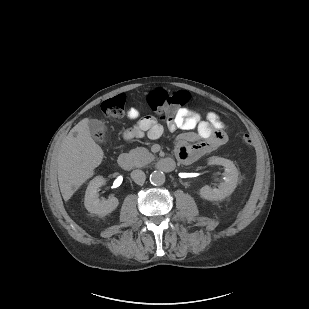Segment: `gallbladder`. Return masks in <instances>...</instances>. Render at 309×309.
<instances>
[{
    "mask_svg": "<svg viewBox=\"0 0 309 309\" xmlns=\"http://www.w3.org/2000/svg\"><path fill=\"white\" fill-rule=\"evenodd\" d=\"M88 126H89V130H90L92 136L97 141L101 142L102 140L100 138H98L96 136V134L106 132L107 128H106L105 124L98 119H90L89 122H88Z\"/></svg>",
    "mask_w": 309,
    "mask_h": 309,
    "instance_id": "obj_1",
    "label": "gallbladder"
}]
</instances>
